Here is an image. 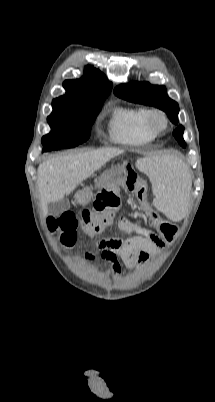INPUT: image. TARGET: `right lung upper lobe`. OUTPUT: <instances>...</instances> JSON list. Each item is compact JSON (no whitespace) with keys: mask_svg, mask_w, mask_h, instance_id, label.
I'll return each mask as SVG.
<instances>
[{"mask_svg":"<svg viewBox=\"0 0 215 402\" xmlns=\"http://www.w3.org/2000/svg\"><path fill=\"white\" fill-rule=\"evenodd\" d=\"M63 87L66 94L55 100L93 101L107 97L112 84L101 71L88 65L81 79L66 80Z\"/></svg>","mask_w":215,"mask_h":402,"instance_id":"cb5924a9","label":"right lung upper lobe"}]
</instances>
